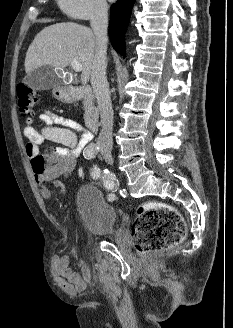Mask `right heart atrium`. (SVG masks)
<instances>
[{
    "label": "right heart atrium",
    "instance_id": "right-heart-atrium-1",
    "mask_svg": "<svg viewBox=\"0 0 233 328\" xmlns=\"http://www.w3.org/2000/svg\"><path fill=\"white\" fill-rule=\"evenodd\" d=\"M58 3L65 14L78 20L101 17L108 9L106 0H58Z\"/></svg>",
    "mask_w": 233,
    "mask_h": 328
}]
</instances>
